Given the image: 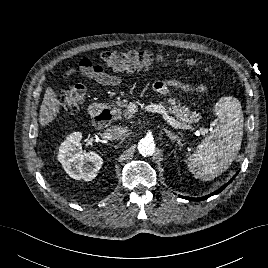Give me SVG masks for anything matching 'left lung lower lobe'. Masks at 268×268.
Returning <instances> with one entry per match:
<instances>
[{
  "mask_svg": "<svg viewBox=\"0 0 268 268\" xmlns=\"http://www.w3.org/2000/svg\"><path fill=\"white\" fill-rule=\"evenodd\" d=\"M235 176L228 183H226L224 186H222L220 189H218L217 191L213 192L210 195H207V196H204V197H201V198H190V197H184V196H180V195H179V197L184 198V199H188V200H191V201L205 200V199L209 198L212 195H216V194L220 193L228 184H230L232 182V180L235 178Z\"/></svg>",
  "mask_w": 268,
  "mask_h": 268,
  "instance_id": "0a47b994",
  "label": "left lung lower lobe"
}]
</instances>
